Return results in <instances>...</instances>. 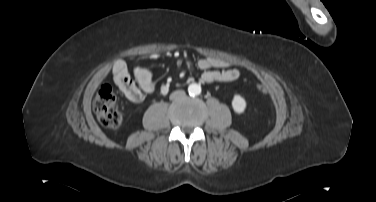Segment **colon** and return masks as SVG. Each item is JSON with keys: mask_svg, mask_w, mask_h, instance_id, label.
<instances>
[{"mask_svg": "<svg viewBox=\"0 0 376 202\" xmlns=\"http://www.w3.org/2000/svg\"><path fill=\"white\" fill-rule=\"evenodd\" d=\"M257 90L264 94L267 87L263 83L257 85ZM93 109L99 122L111 129H117L122 125L123 113L117 103L116 96L109 85L100 87L93 101Z\"/></svg>", "mask_w": 376, "mask_h": 202, "instance_id": "colon-1", "label": "colon"}]
</instances>
